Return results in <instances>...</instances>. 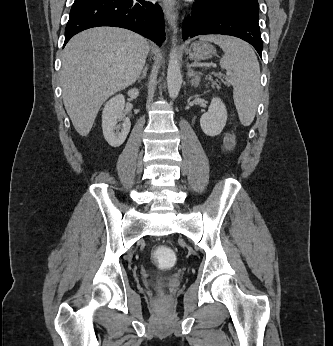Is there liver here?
Masks as SVG:
<instances>
[{
	"instance_id": "obj_1",
	"label": "liver",
	"mask_w": 333,
	"mask_h": 346,
	"mask_svg": "<svg viewBox=\"0 0 333 346\" xmlns=\"http://www.w3.org/2000/svg\"><path fill=\"white\" fill-rule=\"evenodd\" d=\"M142 36L116 27H96L75 35L62 54L61 85L74 128L87 136L101 105L140 76L149 51Z\"/></svg>"
}]
</instances>
